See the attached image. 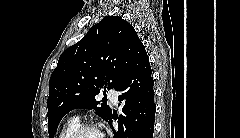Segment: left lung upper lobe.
Returning <instances> with one entry per match:
<instances>
[{
	"mask_svg": "<svg viewBox=\"0 0 240 138\" xmlns=\"http://www.w3.org/2000/svg\"><path fill=\"white\" fill-rule=\"evenodd\" d=\"M143 46L133 26L120 16H106L59 58L49 82L48 132L53 138L63 116L76 108L94 109L108 121L112 110L95 100L101 88L115 89Z\"/></svg>",
	"mask_w": 240,
	"mask_h": 138,
	"instance_id": "1",
	"label": "left lung upper lobe"
}]
</instances>
